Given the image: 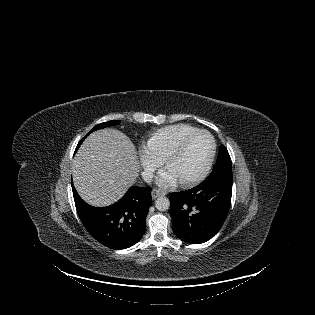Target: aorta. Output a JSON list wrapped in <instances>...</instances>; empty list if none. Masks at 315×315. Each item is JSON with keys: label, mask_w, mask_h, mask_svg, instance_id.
Listing matches in <instances>:
<instances>
[{"label": "aorta", "mask_w": 315, "mask_h": 315, "mask_svg": "<svg viewBox=\"0 0 315 315\" xmlns=\"http://www.w3.org/2000/svg\"><path fill=\"white\" fill-rule=\"evenodd\" d=\"M155 207L159 211H166L170 207V201L167 197H159L155 201Z\"/></svg>", "instance_id": "762f6f07"}]
</instances>
